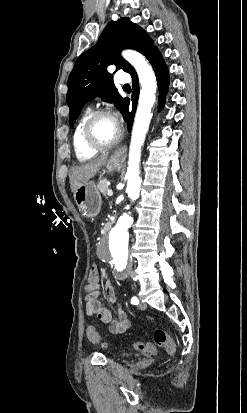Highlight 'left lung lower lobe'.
I'll use <instances>...</instances> for the list:
<instances>
[{
	"label": "left lung lower lobe",
	"instance_id": "1",
	"mask_svg": "<svg viewBox=\"0 0 247 413\" xmlns=\"http://www.w3.org/2000/svg\"><path fill=\"white\" fill-rule=\"evenodd\" d=\"M148 60L151 63L155 71V74H156L157 83L159 87V109H161L165 102V95L168 91V86H169L168 69L158 50ZM131 76H132V87H133V95H132L133 110L131 112L128 111V106L130 103V101L128 100L127 107L123 115L125 121L128 123L129 130H131V127H132L135 109L137 105V98L139 94L138 76L136 73H134Z\"/></svg>",
	"mask_w": 247,
	"mask_h": 413
}]
</instances>
